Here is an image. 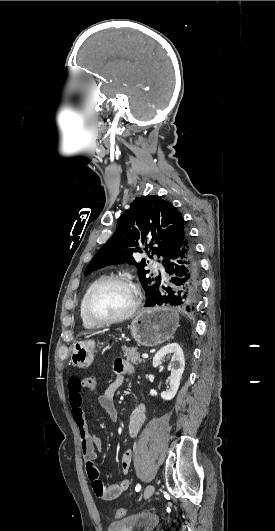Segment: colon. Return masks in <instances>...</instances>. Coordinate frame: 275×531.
I'll return each instance as SVG.
<instances>
[{
	"label": "colon",
	"instance_id": "1",
	"mask_svg": "<svg viewBox=\"0 0 275 531\" xmlns=\"http://www.w3.org/2000/svg\"><path fill=\"white\" fill-rule=\"evenodd\" d=\"M82 392L95 393L98 390V383L94 377H85V381L81 383ZM125 514L124 508H118L116 510V516L118 518L123 517Z\"/></svg>",
	"mask_w": 275,
	"mask_h": 531
}]
</instances>
